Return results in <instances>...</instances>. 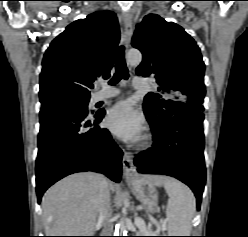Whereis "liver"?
Instances as JSON below:
<instances>
[{"mask_svg": "<svg viewBox=\"0 0 248 237\" xmlns=\"http://www.w3.org/2000/svg\"><path fill=\"white\" fill-rule=\"evenodd\" d=\"M156 186L167 179L149 175ZM102 176L94 172L70 175L49 188L42 198L46 236H88L92 234L99 208ZM110 190L116 186L110 182Z\"/></svg>", "mask_w": 248, "mask_h": 237, "instance_id": "6515ba94", "label": "liver"}]
</instances>
